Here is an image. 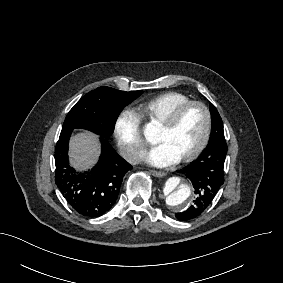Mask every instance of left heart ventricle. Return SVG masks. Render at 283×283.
<instances>
[{
    "label": "left heart ventricle",
    "mask_w": 283,
    "mask_h": 283,
    "mask_svg": "<svg viewBox=\"0 0 283 283\" xmlns=\"http://www.w3.org/2000/svg\"><path fill=\"white\" fill-rule=\"evenodd\" d=\"M205 131L203 111L192 106L180 117L171 130L159 124L154 143H167L179 157L195 149L201 142Z\"/></svg>",
    "instance_id": "b2bd125f"
}]
</instances>
